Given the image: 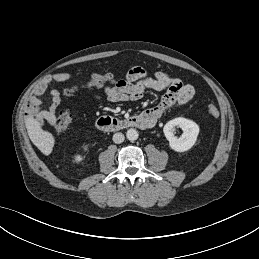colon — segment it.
<instances>
[{
  "label": "colon",
  "instance_id": "obj_1",
  "mask_svg": "<svg viewBox=\"0 0 259 259\" xmlns=\"http://www.w3.org/2000/svg\"><path fill=\"white\" fill-rule=\"evenodd\" d=\"M117 82H118V79L113 74H96L89 77L86 80L85 84L90 87H99L108 83H117ZM74 89L75 87H68V88H65L63 92L65 94H70ZM207 110L210 116L218 117L219 110L215 105L213 104L208 105ZM72 123H73L72 114L69 112H61L55 121L54 128L57 132L63 133L68 131L72 127Z\"/></svg>",
  "mask_w": 259,
  "mask_h": 259
}]
</instances>
